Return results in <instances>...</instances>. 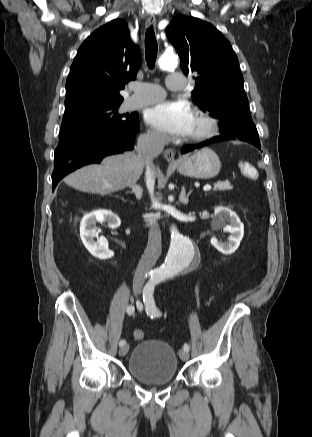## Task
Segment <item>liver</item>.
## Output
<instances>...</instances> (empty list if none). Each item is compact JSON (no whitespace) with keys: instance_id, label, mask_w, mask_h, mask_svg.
Instances as JSON below:
<instances>
[{"instance_id":"obj_1","label":"liver","mask_w":312,"mask_h":437,"mask_svg":"<svg viewBox=\"0 0 312 437\" xmlns=\"http://www.w3.org/2000/svg\"><path fill=\"white\" fill-rule=\"evenodd\" d=\"M144 165L137 151L111 155L100 164L76 170L64 182L82 192L106 195L133 186L143 174Z\"/></svg>"}]
</instances>
